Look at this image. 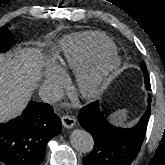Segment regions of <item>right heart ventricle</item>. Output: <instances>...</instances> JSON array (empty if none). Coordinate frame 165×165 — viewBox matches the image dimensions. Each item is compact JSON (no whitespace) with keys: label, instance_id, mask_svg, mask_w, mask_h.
<instances>
[{"label":"right heart ventricle","instance_id":"right-heart-ventricle-1","mask_svg":"<svg viewBox=\"0 0 165 165\" xmlns=\"http://www.w3.org/2000/svg\"><path fill=\"white\" fill-rule=\"evenodd\" d=\"M62 69L77 70L104 53L115 52V44L104 34L96 31L78 33L61 41Z\"/></svg>","mask_w":165,"mask_h":165}]
</instances>
